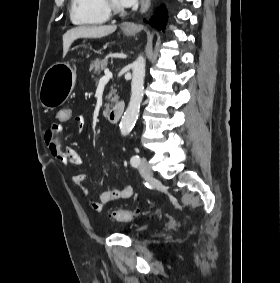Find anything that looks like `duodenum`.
<instances>
[{
	"label": "duodenum",
	"mask_w": 280,
	"mask_h": 283,
	"mask_svg": "<svg viewBox=\"0 0 280 283\" xmlns=\"http://www.w3.org/2000/svg\"><path fill=\"white\" fill-rule=\"evenodd\" d=\"M123 111H124V103L120 102L117 105H115L112 109H110V111L107 114L108 122L112 124L117 123L121 119L123 115Z\"/></svg>",
	"instance_id": "obj_1"
}]
</instances>
